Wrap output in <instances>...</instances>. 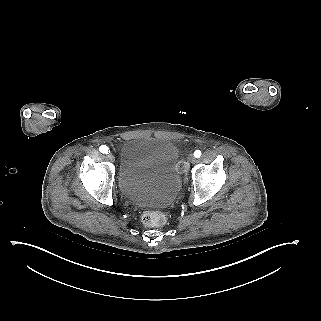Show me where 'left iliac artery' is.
<instances>
[{
    "label": "left iliac artery",
    "mask_w": 321,
    "mask_h": 321,
    "mask_svg": "<svg viewBox=\"0 0 321 321\" xmlns=\"http://www.w3.org/2000/svg\"><path fill=\"white\" fill-rule=\"evenodd\" d=\"M194 156H195L196 158H199V157L201 156V151H200V150H196V151L194 152Z\"/></svg>",
    "instance_id": "obj_1"
}]
</instances>
